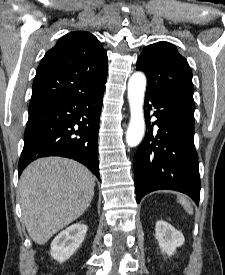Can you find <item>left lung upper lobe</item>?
<instances>
[{"mask_svg":"<svg viewBox=\"0 0 225 275\" xmlns=\"http://www.w3.org/2000/svg\"><path fill=\"white\" fill-rule=\"evenodd\" d=\"M137 70L147 76V89L195 110L192 71L175 45L157 42L145 48L137 60Z\"/></svg>","mask_w":225,"mask_h":275,"instance_id":"left-lung-upper-lobe-1","label":"left lung upper lobe"}]
</instances>
